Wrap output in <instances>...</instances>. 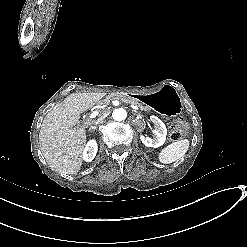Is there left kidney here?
Segmentation results:
<instances>
[{
    "label": "left kidney",
    "mask_w": 247,
    "mask_h": 247,
    "mask_svg": "<svg viewBox=\"0 0 247 247\" xmlns=\"http://www.w3.org/2000/svg\"><path fill=\"white\" fill-rule=\"evenodd\" d=\"M151 122L154 123V138L145 137L143 134H140V140L142 144L149 148H158L162 146L165 142V137L167 134L166 127L163 122H161L157 117H150Z\"/></svg>",
    "instance_id": "5707ae66"
}]
</instances>
